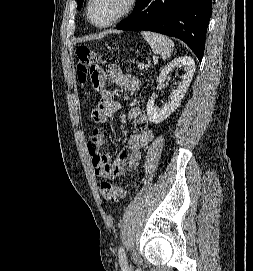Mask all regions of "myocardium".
<instances>
[{"mask_svg": "<svg viewBox=\"0 0 253 271\" xmlns=\"http://www.w3.org/2000/svg\"><path fill=\"white\" fill-rule=\"evenodd\" d=\"M137 2H138V0H127L126 7L124 8V10L120 14H118L116 17H114L112 20H110L107 23L98 24L93 20V18L91 16V5L93 3V0H88L87 7H86V15H87V18L90 21V23L92 25H94L95 27H97V28H107V27H110V26L118 23L123 18L128 16L135 9V7L137 5Z\"/></svg>", "mask_w": 253, "mask_h": 271, "instance_id": "1", "label": "myocardium"}]
</instances>
